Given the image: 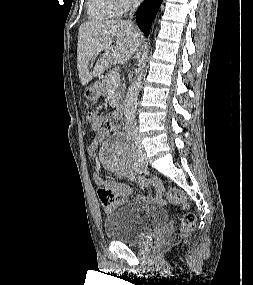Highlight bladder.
Here are the masks:
<instances>
[{
  "instance_id": "obj_1",
  "label": "bladder",
  "mask_w": 253,
  "mask_h": 285,
  "mask_svg": "<svg viewBox=\"0 0 253 285\" xmlns=\"http://www.w3.org/2000/svg\"><path fill=\"white\" fill-rule=\"evenodd\" d=\"M167 219V212L162 207L131 202L111 210L104 220L103 231L110 240L132 243L165 224Z\"/></svg>"
}]
</instances>
